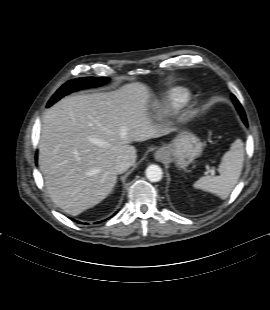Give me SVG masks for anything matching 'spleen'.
Listing matches in <instances>:
<instances>
[{
    "label": "spleen",
    "mask_w": 270,
    "mask_h": 310,
    "mask_svg": "<svg viewBox=\"0 0 270 310\" xmlns=\"http://www.w3.org/2000/svg\"><path fill=\"white\" fill-rule=\"evenodd\" d=\"M244 161V148L241 140L232 143L219 165V176H203L199 178L193 187L212 193L221 199H226L234 189L241 175Z\"/></svg>",
    "instance_id": "3e777b00"
}]
</instances>
